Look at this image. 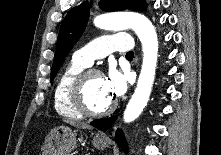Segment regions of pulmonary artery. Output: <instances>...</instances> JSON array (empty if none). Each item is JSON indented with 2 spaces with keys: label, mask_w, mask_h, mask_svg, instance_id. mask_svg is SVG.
Listing matches in <instances>:
<instances>
[{
  "label": "pulmonary artery",
  "mask_w": 221,
  "mask_h": 155,
  "mask_svg": "<svg viewBox=\"0 0 221 155\" xmlns=\"http://www.w3.org/2000/svg\"><path fill=\"white\" fill-rule=\"evenodd\" d=\"M132 39L128 34L118 33L98 37L82 49L74 53L73 59L90 66L95 59L102 58L111 52H129L132 49Z\"/></svg>",
  "instance_id": "obj_1"
}]
</instances>
